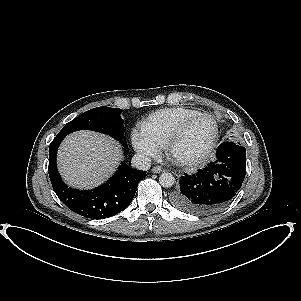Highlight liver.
Listing matches in <instances>:
<instances>
[{
  "label": "liver",
  "instance_id": "6515ba94",
  "mask_svg": "<svg viewBox=\"0 0 301 301\" xmlns=\"http://www.w3.org/2000/svg\"><path fill=\"white\" fill-rule=\"evenodd\" d=\"M122 159L118 142L86 130L69 134L57 155L58 168L64 180L80 189L103 183L114 173Z\"/></svg>",
  "mask_w": 301,
  "mask_h": 301
}]
</instances>
